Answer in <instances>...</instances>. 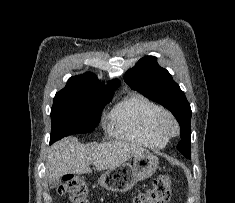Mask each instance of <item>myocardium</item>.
<instances>
[{
    "label": "myocardium",
    "instance_id": "obj_1",
    "mask_svg": "<svg viewBox=\"0 0 235 203\" xmlns=\"http://www.w3.org/2000/svg\"><path fill=\"white\" fill-rule=\"evenodd\" d=\"M152 130L166 139L175 137L179 133V123L168 110H160L152 121Z\"/></svg>",
    "mask_w": 235,
    "mask_h": 203
}]
</instances>
